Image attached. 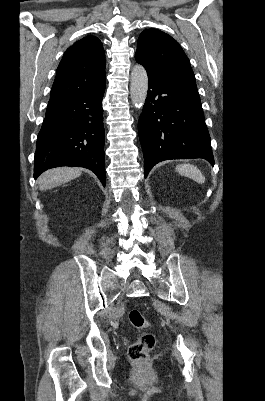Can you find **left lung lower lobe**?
<instances>
[{
	"label": "left lung lower lobe",
	"instance_id": "obj_1",
	"mask_svg": "<svg viewBox=\"0 0 265 401\" xmlns=\"http://www.w3.org/2000/svg\"><path fill=\"white\" fill-rule=\"evenodd\" d=\"M148 79L147 98L138 124L145 178L155 164L168 159L203 158L214 165L196 83L150 74Z\"/></svg>",
	"mask_w": 265,
	"mask_h": 401
}]
</instances>
